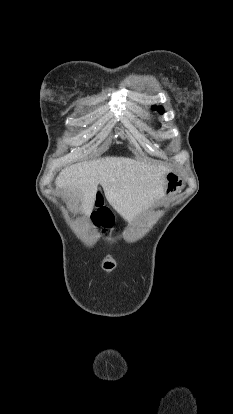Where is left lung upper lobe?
<instances>
[{
    "mask_svg": "<svg viewBox=\"0 0 233 414\" xmlns=\"http://www.w3.org/2000/svg\"><path fill=\"white\" fill-rule=\"evenodd\" d=\"M152 110H157L160 114L164 113V108L161 107V106H159V107L153 106Z\"/></svg>",
    "mask_w": 233,
    "mask_h": 414,
    "instance_id": "1",
    "label": "left lung upper lobe"
}]
</instances>
